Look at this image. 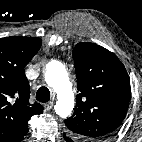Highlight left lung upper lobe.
Listing matches in <instances>:
<instances>
[{"instance_id":"obj_1","label":"left lung upper lobe","mask_w":142,"mask_h":142,"mask_svg":"<svg viewBox=\"0 0 142 142\" xmlns=\"http://www.w3.org/2000/svg\"><path fill=\"white\" fill-rule=\"evenodd\" d=\"M78 94L73 115L65 119L74 141L105 142L116 134L130 101V82L121 61L93 43L73 50Z\"/></svg>"}]
</instances>
